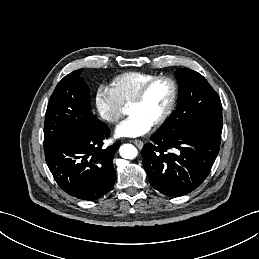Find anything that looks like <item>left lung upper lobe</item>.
I'll return each mask as SVG.
<instances>
[{
	"mask_svg": "<svg viewBox=\"0 0 259 259\" xmlns=\"http://www.w3.org/2000/svg\"><path fill=\"white\" fill-rule=\"evenodd\" d=\"M175 73L179 80L177 110L157 132L181 136L203 124L222 128L221 100L208 81L198 72L186 68Z\"/></svg>",
	"mask_w": 259,
	"mask_h": 259,
	"instance_id": "1",
	"label": "left lung upper lobe"
}]
</instances>
